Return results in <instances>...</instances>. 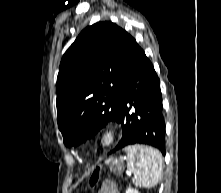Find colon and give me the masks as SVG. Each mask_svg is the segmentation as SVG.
<instances>
[{"label":"colon","mask_w":221,"mask_h":193,"mask_svg":"<svg viewBox=\"0 0 221 193\" xmlns=\"http://www.w3.org/2000/svg\"><path fill=\"white\" fill-rule=\"evenodd\" d=\"M101 171L102 169L100 167H97L90 175L88 185L91 189L95 188L98 185Z\"/></svg>","instance_id":"obj_1"}]
</instances>
